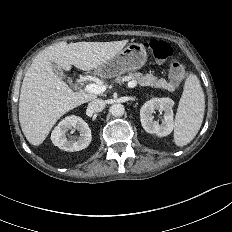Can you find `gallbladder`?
I'll return each mask as SVG.
<instances>
[{"label": "gallbladder", "mask_w": 232, "mask_h": 232, "mask_svg": "<svg viewBox=\"0 0 232 232\" xmlns=\"http://www.w3.org/2000/svg\"><path fill=\"white\" fill-rule=\"evenodd\" d=\"M53 70H54V73H55L59 78H61V79H67V81H68L69 83L71 82L70 78H68V77L66 76V74L64 73V71H63L60 67H58L57 65L53 64Z\"/></svg>", "instance_id": "gallbladder-1"}]
</instances>
